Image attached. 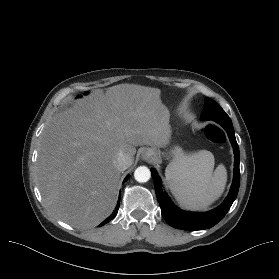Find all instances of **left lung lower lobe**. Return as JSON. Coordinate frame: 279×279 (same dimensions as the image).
Segmentation results:
<instances>
[{
	"label": "left lung lower lobe",
	"mask_w": 279,
	"mask_h": 279,
	"mask_svg": "<svg viewBox=\"0 0 279 279\" xmlns=\"http://www.w3.org/2000/svg\"><path fill=\"white\" fill-rule=\"evenodd\" d=\"M218 123L227 131L235 154L233 183L227 198L219 207L206 213H191L178 209L171 202L166 192L162 190L161 179L155 169H151L152 178L154 179L155 192L161 208V214L166 222L172 227L184 230H203L211 228L226 215L232 203L236 199L240 183L239 148L236 142L231 120H222Z\"/></svg>",
	"instance_id": "1"
}]
</instances>
